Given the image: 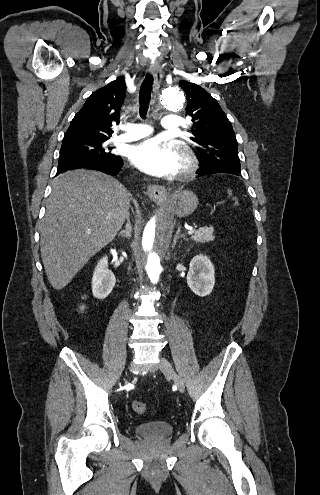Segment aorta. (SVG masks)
<instances>
[{
	"instance_id": "obj_1",
	"label": "aorta",
	"mask_w": 320,
	"mask_h": 495,
	"mask_svg": "<svg viewBox=\"0 0 320 495\" xmlns=\"http://www.w3.org/2000/svg\"><path fill=\"white\" fill-rule=\"evenodd\" d=\"M161 105L169 110H178L183 106L184 98L178 89H166L160 96ZM172 227L168 210L154 215L145 225L141 235V252L145 268L153 284L159 282L161 268V247L170 240Z\"/></svg>"
}]
</instances>
